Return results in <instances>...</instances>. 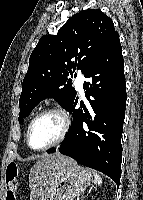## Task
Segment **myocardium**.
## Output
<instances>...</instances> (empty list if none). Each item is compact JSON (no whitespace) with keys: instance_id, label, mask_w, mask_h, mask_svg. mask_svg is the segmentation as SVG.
I'll return each mask as SVG.
<instances>
[{"instance_id":"obj_1","label":"myocardium","mask_w":143,"mask_h":200,"mask_svg":"<svg viewBox=\"0 0 143 200\" xmlns=\"http://www.w3.org/2000/svg\"><path fill=\"white\" fill-rule=\"evenodd\" d=\"M48 114H56L58 115L62 122H63V128H62V131L59 135V137L54 140L53 142H51L50 144L44 146V147H41V148H34L31 144H30V131H31V128L33 126V124L41 117L45 116V115H48ZM70 127H71V119H70V116L69 114L61 107H58V106H55V107H50V108H47L43 111H41L40 113H38L31 121L30 123L28 124L27 126V130H26V135H25V139H26V143H27V146L34 150V151H38V152H41V151H45V150H48L52 147H55L57 146L58 144H60L61 142H63L65 140V138L67 137L68 133H69V130H70Z\"/></svg>"}]
</instances>
